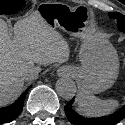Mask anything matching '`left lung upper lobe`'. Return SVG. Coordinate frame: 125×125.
I'll return each instance as SVG.
<instances>
[{
	"label": "left lung upper lobe",
	"mask_w": 125,
	"mask_h": 125,
	"mask_svg": "<svg viewBox=\"0 0 125 125\" xmlns=\"http://www.w3.org/2000/svg\"><path fill=\"white\" fill-rule=\"evenodd\" d=\"M109 16L113 19H117L118 29L125 32V16L118 12H110Z\"/></svg>",
	"instance_id": "1"
}]
</instances>
